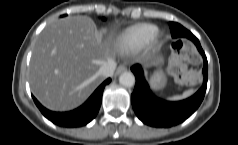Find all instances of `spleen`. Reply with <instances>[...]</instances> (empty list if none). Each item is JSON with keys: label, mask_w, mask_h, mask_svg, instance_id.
I'll use <instances>...</instances> for the list:
<instances>
[{"label": "spleen", "mask_w": 238, "mask_h": 145, "mask_svg": "<svg viewBox=\"0 0 238 145\" xmlns=\"http://www.w3.org/2000/svg\"><path fill=\"white\" fill-rule=\"evenodd\" d=\"M194 93V89H190L185 91L182 95H178V96H174L172 98H170L171 100H179V99H184L189 97L190 95H192Z\"/></svg>", "instance_id": "spleen-1"}]
</instances>
